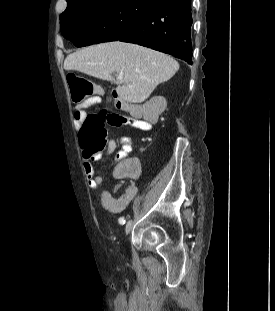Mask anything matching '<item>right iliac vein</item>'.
Masks as SVG:
<instances>
[{
  "label": "right iliac vein",
  "instance_id": "63e3f726",
  "mask_svg": "<svg viewBox=\"0 0 275 311\" xmlns=\"http://www.w3.org/2000/svg\"><path fill=\"white\" fill-rule=\"evenodd\" d=\"M133 226V221L129 220L125 225V234H129Z\"/></svg>",
  "mask_w": 275,
  "mask_h": 311
}]
</instances>
